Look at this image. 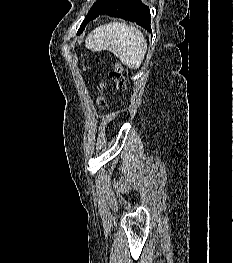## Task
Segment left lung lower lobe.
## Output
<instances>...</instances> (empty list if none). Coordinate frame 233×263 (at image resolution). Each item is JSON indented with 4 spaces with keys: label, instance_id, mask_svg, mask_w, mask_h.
<instances>
[{
    "label": "left lung lower lobe",
    "instance_id": "left-lung-lower-lobe-1",
    "mask_svg": "<svg viewBox=\"0 0 233 263\" xmlns=\"http://www.w3.org/2000/svg\"><path fill=\"white\" fill-rule=\"evenodd\" d=\"M100 14L131 20L151 32L149 8L141 0H116L115 3L103 12L94 15L90 20L95 19Z\"/></svg>",
    "mask_w": 233,
    "mask_h": 263
}]
</instances>
